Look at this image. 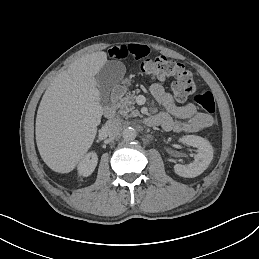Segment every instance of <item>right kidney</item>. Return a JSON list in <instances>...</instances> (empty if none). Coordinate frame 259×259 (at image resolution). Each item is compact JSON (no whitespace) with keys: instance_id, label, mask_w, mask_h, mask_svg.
Here are the masks:
<instances>
[{"instance_id":"obj_1","label":"right kidney","mask_w":259,"mask_h":259,"mask_svg":"<svg viewBox=\"0 0 259 259\" xmlns=\"http://www.w3.org/2000/svg\"><path fill=\"white\" fill-rule=\"evenodd\" d=\"M97 165V156L95 154H88L79 165V172L81 175L89 176Z\"/></svg>"}]
</instances>
